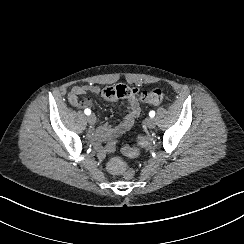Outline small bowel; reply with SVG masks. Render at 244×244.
<instances>
[{
	"mask_svg": "<svg viewBox=\"0 0 244 244\" xmlns=\"http://www.w3.org/2000/svg\"><path fill=\"white\" fill-rule=\"evenodd\" d=\"M86 93L101 95V90L94 85H76L68 93L67 99L71 106L84 109L92 106L89 99L82 100L81 96ZM127 113L124 118L115 126L104 125L98 131L97 138L99 141L113 140L119 135L129 131L133 126L135 120L140 114V105L134 96H129L126 100Z\"/></svg>",
	"mask_w": 244,
	"mask_h": 244,
	"instance_id": "obj_1",
	"label": "small bowel"
}]
</instances>
